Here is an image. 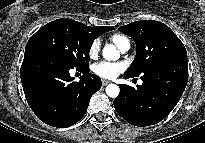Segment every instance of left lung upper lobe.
I'll return each instance as SVG.
<instances>
[{"mask_svg": "<svg viewBox=\"0 0 205 143\" xmlns=\"http://www.w3.org/2000/svg\"><path fill=\"white\" fill-rule=\"evenodd\" d=\"M136 43L135 60L124 75L138 77L159 62L186 57L187 52L176 34L165 24L153 20H140L119 27Z\"/></svg>", "mask_w": 205, "mask_h": 143, "instance_id": "5c2ea615", "label": "left lung upper lobe"}]
</instances>
